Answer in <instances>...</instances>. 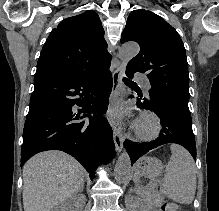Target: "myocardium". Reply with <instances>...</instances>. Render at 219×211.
Here are the masks:
<instances>
[{"instance_id": "obj_1", "label": "myocardium", "mask_w": 219, "mask_h": 211, "mask_svg": "<svg viewBox=\"0 0 219 211\" xmlns=\"http://www.w3.org/2000/svg\"><path fill=\"white\" fill-rule=\"evenodd\" d=\"M161 128V118L155 112L144 113L136 123V135L142 139L154 138Z\"/></svg>"}]
</instances>
